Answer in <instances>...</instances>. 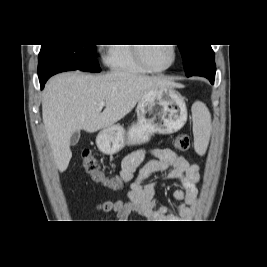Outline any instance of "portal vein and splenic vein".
Listing matches in <instances>:
<instances>
[{
  "mask_svg": "<svg viewBox=\"0 0 267 267\" xmlns=\"http://www.w3.org/2000/svg\"><path fill=\"white\" fill-rule=\"evenodd\" d=\"M105 105H106L105 102H100V103L98 104V106H99L100 109L103 108Z\"/></svg>",
  "mask_w": 267,
  "mask_h": 267,
  "instance_id": "1",
  "label": "portal vein and splenic vein"
}]
</instances>
